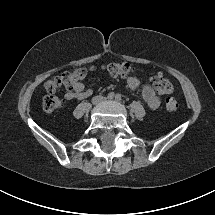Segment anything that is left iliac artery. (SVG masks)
Segmentation results:
<instances>
[{
    "label": "left iliac artery",
    "instance_id": "obj_1",
    "mask_svg": "<svg viewBox=\"0 0 215 215\" xmlns=\"http://www.w3.org/2000/svg\"><path fill=\"white\" fill-rule=\"evenodd\" d=\"M115 99H116V101H120V100H121V95H120V94H117V95L115 96Z\"/></svg>",
    "mask_w": 215,
    "mask_h": 215
}]
</instances>
